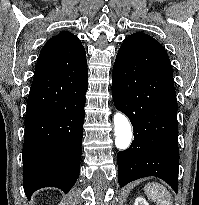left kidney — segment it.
<instances>
[{"label":"left kidney","instance_id":"left-kidney-1","mask_svg":"<svg viewBox=\"0 0 199 205\" xmlns=\"http://www.w3.org/2000/svg\"><path fill=\"white\" fill-rule=\"evenodd\" d=\"M134 205H149V204L143 197H137L135 199Z\"/></svg>","mask_w":199,"mask_h":205}]
</instances>
